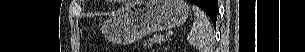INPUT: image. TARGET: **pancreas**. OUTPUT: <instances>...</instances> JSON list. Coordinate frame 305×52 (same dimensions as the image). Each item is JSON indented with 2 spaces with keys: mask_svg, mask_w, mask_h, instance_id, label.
Here are the masks:
<instances>
[{
  "mask_svg": "<svg viewBox=\"0 0 305 52\" xmlns=\"http://www.w3.org/2000/svg\"><path fill=\"white\" fill-rule=\"evenodd\" d=\"M165 41V37L162 35H154L153 37L148 39V45H153L156 43H161Z\"/></svg>",
  "mask_w": 305,
  "mask_h": 52,
  "instance_id": "obj_1",
  "label": "pancreas"
}]
</instances>
